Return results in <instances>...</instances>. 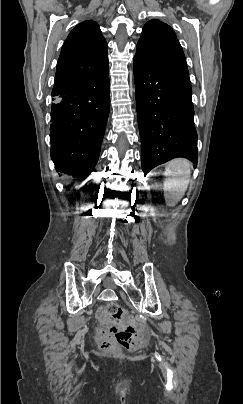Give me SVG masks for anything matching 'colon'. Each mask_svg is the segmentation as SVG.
<instances>
[{"instance_id": "1", "label": "colon", "mask_w": 243, "mask_h": 404, "mask_svg": "<svg viewBox=\"0 0 243 404\" xmlns=\"http://www.w3.org/2000/svg\"><path fill=\"white\" fill-rule=\"evenodd\" d=\"M106 313L113 323L123 320L125 310L118 304H109ZM100 346L103 350L112 351L122 347L128 350H136L143 346L144 339L140 331L134 326L123 328L99 329Z\"/></svg>"}]
</instances>
